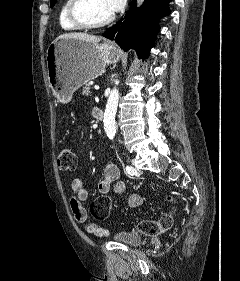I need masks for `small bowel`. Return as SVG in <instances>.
I'll return each mask as SVG.
<instances>
[{
    "mask_svg": "<svg viewBox=\"0 0 240 281\" xmlns=\"http://www.w3.org/2000/svg\"><path fill=\"white\" fill-rule=\"evenodd\" d=\"M71 189L73 195L70 199V208L75 220L83 224L84 230L87 233L99 237L107 235V229L100 228L95 223L88 221L87 211L83 205L88 197V192L85 189L83 181L81 179H73ZM111 190L118 195H127L128 205L132 208L138 207L142 202L138 194L128 193L126 183L120 179L119 168L112 163L105 166L102 178L98 182V191L100 193L107 194Z\"/></svg>",
    "mask_w": 240,
    "mask_h": 281,
    "instance_id": "small-bowel-1",
    "label": "small bowel"
}]
</instances>
